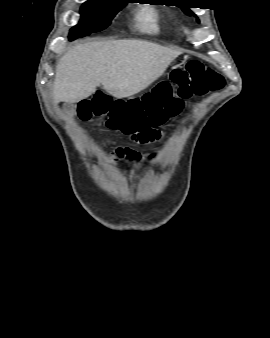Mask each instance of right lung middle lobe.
Masks as SVG:
<instances>
[{
  "instance_id": "dd1d6c3e",
  "label": "right lung middle lobe",
  "mask_w": 270,
  "mask_h": 338,
  "mask_svg": "<svg viewBox=\"0 0 270 338\" xmlns=\"http://www.w3.org/2000/svg\"><path fill=\"white\" fill-rule=\"evenodd\" d=\"M126 3V0L86 1L80 9L81 19L71 28L69 39L74 40L105 29Z\"/></svg>"
}]
</instances>
